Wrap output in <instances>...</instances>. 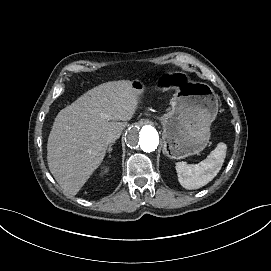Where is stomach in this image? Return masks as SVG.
I'll list each match as a JSON object with an SVG mask.
<instances>
[{"label":"stomach","mask_w":271,"mask_h":271,"mask_svg":"<svg viewBox=\"0 0 271 271\" xmlns=\"http://www.w3.org/2000/svg\"><path fill=\"white\" fill-rule=\"evenodd\" d=\"M158 84L163 88L176 87L172 108L158 117L162 124V150L173 160L201 153L211 138V124L218 110V97L204 83H189L181 73L165 74ZM136 88L141 85L135 84Z\"/></svg>","instance_id":"0dacf381"}]
</instances>
